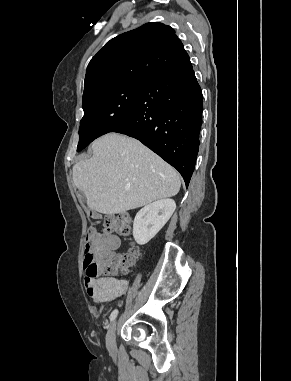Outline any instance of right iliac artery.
Returning a JSON list of instances; mask_svg holds the SVG:
<instances>
[{
  "label": "right iliac artery",
  "mask_w": 291,
  "mask_h": 381,
  "mask_svg": "<svg viewBox=\"0 0 291 381\" xmlns=\"http://www.w3.org/2000/svg\"><path fill=\"white\" fill-rule=\"evenodd\" d=\"M118 315V310L115 309L110 315V321H113Z\"/></svg>",
  "instance_id": "82829eb1"
}]
</instances>
